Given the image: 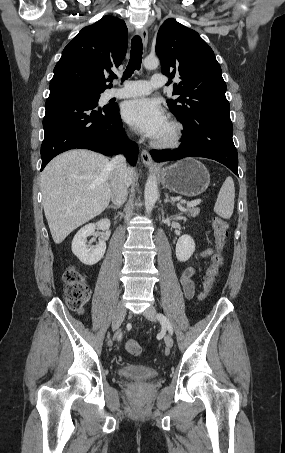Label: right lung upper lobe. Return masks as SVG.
<instances>
[{
  "label": "right lung upper lobe",
  "instance_id": "cb5924a9",
  "mask_svg": "<svg viewBox=\"0 0 285 453\" xmlns=\"http://www.w3.org/2000/svg\"><path fill=\"white\" fill-rule=\"evenodd\" d=\"M128 31L123 20L104 16L84 27L64 48L54 68L50 91L74 89L101 93L106 88V75L125 57Z\"/></svg>",
  "mask_w": 285,
  "mask_h": 453
}]
</instances>
